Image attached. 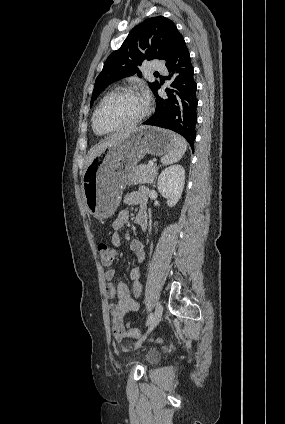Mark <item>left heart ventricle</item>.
<instances>
[{"label":"left heart ventricle","mask_w":285,"mask_h":424,"mask_svg":"<svg viewBox=\"0 0 285 424\" xmlns=\"http://www.w3.org/2000/svg\"><path fill=\"white\" fill-rule=\"evenodd\" d=\"M145 109V100L136 94L117 96L109 100L99 111L97 125L109 129L136 119Z\"/></svg>","instance_id":"1"}]
</instances>
